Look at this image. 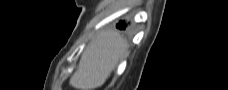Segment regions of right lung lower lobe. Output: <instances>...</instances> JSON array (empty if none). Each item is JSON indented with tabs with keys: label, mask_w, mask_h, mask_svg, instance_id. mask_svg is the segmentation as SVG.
Instances as JSON below:
<instances>
[{
	"label": "right lung lower lobe",
	"mask_w": 228,
	"mask_h": 90,
	"mask_svg": "<svg viewBox=\"0 0 228 90\" xmlns=\"http://www.w3.org/2000/svg\"><path fill=\"white\" fill-rule=\"evenodd\" d=\"M126 26H127V24L125 23V21L119 22V23L116 25V27L119 28V29H121V30H122V29H125Z\"/></svg>",
	"instance_id": "1"
}]
</instances>
